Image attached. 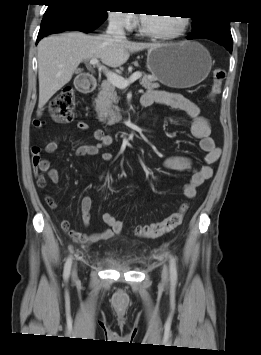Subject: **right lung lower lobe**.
I'll return each instance as SVG.
<instances>
[{
  "label": "right lung lower lobe",
  "instance_id": "right-lung-lower-lobe-1",
  "mask_svg": "<svg viewBox=\"0 0 261 355\" xmlns=\"http://www.w3.org/2000/svg\"><path fill=\"white\" fill-rule=\"evenodd\" d=\"M79 9L63 4H51L46 10L37 37V42L46 35L68 30L90 32L104 22Z\"/></svg>",
  "mask_w": 261,
  "mask_h": 355
}]
</instances>
